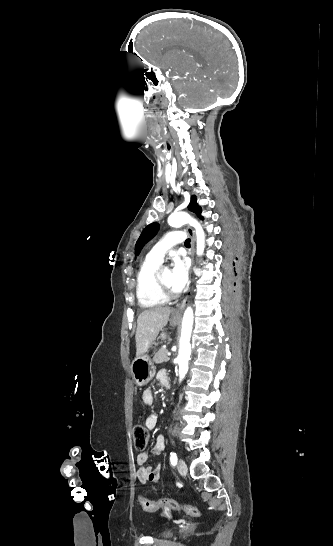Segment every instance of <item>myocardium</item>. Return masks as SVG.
Returning <instances> with one entry per match:
<instances>
[{"label":"myocardium","mask_w":333,"mask_h":546,"mask_svg":"<svg viewBox=\"0 0 333 546\" xmlns=\"http://www.w3.org/2000/svg\"><path fill=\"white\" fill-rule=\"evenodd\" d=\"M163 269L160 268L156 274V277H155V284H156V288H157V291L158 293L164 297L165 299L169 300V299H174L178 296V293L175 292L174 290H171L169 289L162 281V273H163Z\"/></svg>","instance_id":"myocardium-1"}]
</instances>
